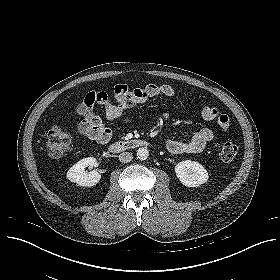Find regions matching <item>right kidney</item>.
Returning <instances> with one entry per match:
<instances>
[{"label":"right kidney","mask_w":280,"mask_h":280,"mask_svg":"<svg viewBox=\"0 0 280 280\" xmlns=\"http://www.w3.org/2000/svg\"><path fill=\"white\" fill-rule=\"evenodd\" d=\"M97 160L94 157H87L76 164H74L67 172V178L78 184L79 186L91 187L96 185L100 179L101 175L96 171L86 172V167H96Z\"/></svg>","instance_id":"obj_1"}]
</instances>
